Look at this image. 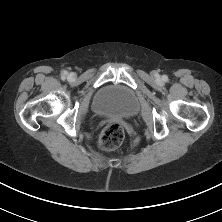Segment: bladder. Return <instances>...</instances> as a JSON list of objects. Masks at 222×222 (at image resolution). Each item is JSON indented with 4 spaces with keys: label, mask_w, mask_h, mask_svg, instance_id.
Masks as SVG:
<instances>
[{
    "label": "bladder",
    "mask_w": 222,
    "mask_h": 222,
    "mask_svg": "<svg viewBox=\"0 0 222 222\" xmlns=\"http://www.w3.org/2000/svg\"><path fill=\"white\" fill-rule=\"evenodd\" d=\"M92 109L99 117H131L139 109L135 93L120 84L102 87L95 95Z\"/></svg>",
    "instance_id": "31cf9c89"
}]
</instances>
